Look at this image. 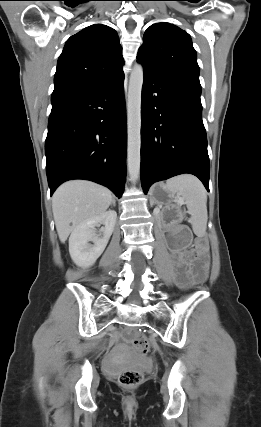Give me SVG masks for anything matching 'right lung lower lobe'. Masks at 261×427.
<instances>
[{
  "label": "right lung lower lobe",
  "instance_id": "right-lung-lower-lobe-1",
  "mask_svg": "<svg viewBox=\"0 0 261 427\" xmlns=\"http://www.w3.org/2000/svg\"><path fill=\"white\" fill-rule=\"evenodd\" d=\"M124 75L52 103L45 142L52 195L70 179L102 184L121 197L126 175Z\"/></svg>",
  "mask_w": 261,
  "mask_h": 427
}]
</instances>
